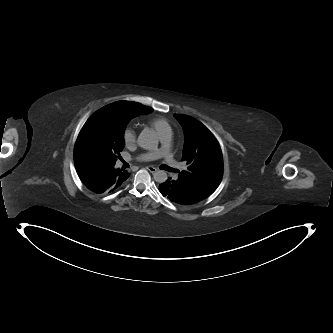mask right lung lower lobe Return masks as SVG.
Returning <instances> with one entry per match:
<instances>
[{
  "mask_svg": "<svg viewBox=\"0 0 333 333\" xmlns=\"http://www.w3.org/2000/svg\"><path fill=\"white\" fill-rule=\"evenodd\" d=\"M77 173L83 184L92 192L107 194L118 190L123 182L130 176L127 171H121L113 166L95 168L78 166Z\"/></svg>",
  "mask_w": 333,
  "mask_h": 333,
  "instance_id": "1",
  "label": "right lung lower lobe"
}]
</instances>
